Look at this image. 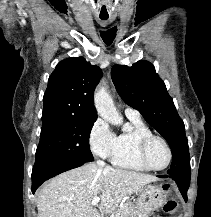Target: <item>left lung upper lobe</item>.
Instances as JSON below:
<instances>
[{"instance_id": "5c2ea615", "label": "left lung upper lobe", "mask_w": 211, "mask_h": 217, "mask_svg": "<svg viewBox=\"0 0 211 217\" xmlns=\"http://www.w3.org/2000/svg\"><path fill=\"white\" fill-rule=\"evenodd\" d=\"M111 76L124 102L137 109L168 142L172 150L168 175L190 177V156L184 123L153 64L138 61L132 67L114 65Z\"/></svg>"}]
</instances>
